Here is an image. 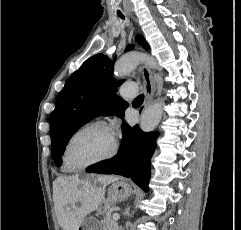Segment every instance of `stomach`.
<instances>
[{
	"label": "stomach",
	"instance_id": "1",
	"mask_svg": "<svg viewBox=\"0 0 241 230\" xmlns=\"http://www.w3.org/2000/svg\"><path fill=\"white\" fill-rule=\"evenodd\" d=\"M132 193L131 186L124 180L113 182L107 190V197H104L98 208L97 215H104L117 202L125 200ZM78 230H100V225L95 221L85 220Z\"/></svg>",
	"mask_w": 241,
	"mask_h": 230
}]
</instances>
